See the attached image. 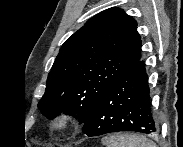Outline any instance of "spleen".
I'll return each mask as SVG.
<instances>
[{
	"mask_svg": "<svg viewBox=\"0 0 183 147\" xmlns=\"http://www.w3.org/2000/svg\"><path fill=\"white\" fill-rule=\"evenodd\" d=\"M102 144L106 147H157L145 136L138 134H112L102 138Z\"/></svg>",
	"mask_w": 183,
	"mask_h": 147,
	"instance_id": "1",
	"label": "spleen"
}]
</instances>
